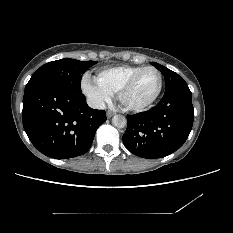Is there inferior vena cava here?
<instances>
[{
    "mask_svg": "<svg viewBox=\"0 0 233 233\" xmlns=\"http://www.w3.org/2000/svg\"><path fill=\"white\" fill-rule=\"evenodd\" d=\"M87 103L91 108H94V109H105L106 108L105 103L99 99H88Z\"/></svg>",
    "mask_w": 233,
    "mask_h": 233,
    "instance_id": "1",
    "label": "inferior vena cava"
}]
</instances>
